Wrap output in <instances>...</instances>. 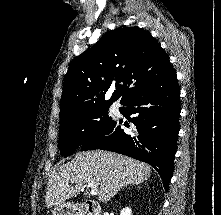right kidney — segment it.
<instances>
[{"label": "right kidney", "instance_id": "ca27d5eb", "mask_svg": "<svg viewBox=\"0 0 221 215\" xmlns=\"http://www.w3.org/2000/svg\"><path fill=\"white\" fill-rule=\"evenodd\" d=\"M120 215H132V211H131V209L130 208H124L122 211H121V213H120Z\"/></svg>", "mask_w": 221, "mask_h": 215}]
</instances>
